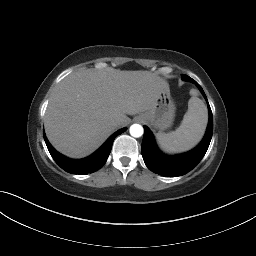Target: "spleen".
Instances as JSON below:
<instances>
[{
    "instance_id": "spleen-1",
    "label": "spleen",
    "mask_w": 256,
    "mask_h": 256,
    "mask_svg": "<svg viewBox=\"0 0 256 256\" xmlns=\"http://www.w3.org/2000/svg\"><path fill=\"white\" fill-rule=\"evenodd\" d=\"M192 97L188 101V110L181 125L170 133L156 134L160 147L169 153L184 152L193 148L202 138L207 125V108L205 103L196 97V91L191 90Z\"/></svg>"
}]
</instances>
